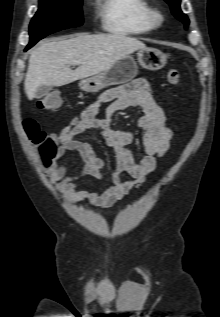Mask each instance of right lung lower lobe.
<instances>
[{
  "mask_svg": "<svg viewBox=\"0 0 220 317\" xmlns=\"http://www.w3.org/2000/svg\"><path fill=\"white\" fill-rule=\"evenodd\" d=\"M34 44L29 43V45L27 46V48L25 50H28L29 48H31Z\"/></svg>",
  "mask_w": 220,
  "mask_h": 317,
  "instance_id": "obj_1",
  "label": "right lung lower lobe"
}]
</instances>
